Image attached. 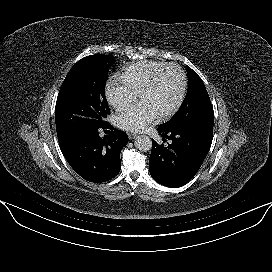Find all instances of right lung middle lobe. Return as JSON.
<instances>
[{"label": "right lung middle lobe", "instance_id": "1", "mask_svg": "<svg viewBox=\"0 0 272 272\" xmlns=\"http://www.w3.org/2000/svg\"><path fill=\"white\" fill-rule=\"evenodd\" d=\"M114 61L112 56L95 54L82 58L70 69L55 107L58 139H73L107 124L110 110L105 84Z\"/></svg>", "mask_w": 272, "mask_h": 272}]
</instances>
